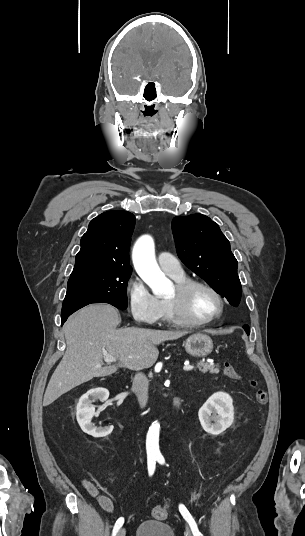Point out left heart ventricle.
<instances>
[{
    "instance_id": "1",
    "label": "left heart ventricle",
    "mask_w": 305,
    "mask_h": 536,
    "mask_svg": "<svg viewBox=\"0 0 305 536\" xmlns=\"http://www.w3.org/2000/svg\"><path fill=\"white\" fill-rule=\"evenodd\" d=\"M175 288L169 294L172 297ZM221 309L219 298L206 288H196L187 298L186 312L192 321H205L218 315Z\"/></svg>"
}]
</instances>
